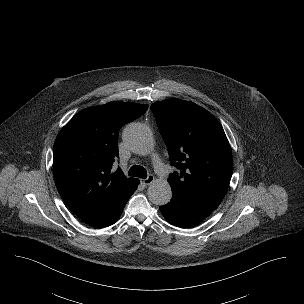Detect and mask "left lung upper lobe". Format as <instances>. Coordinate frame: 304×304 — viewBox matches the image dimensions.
Masks as SVG:
<instances>
[{
  "label": "left lung upper lobe",
  "mask_w": 304,
  "mask_h": 304,
  "mask_svg": "<svg viewBox=\"0 0 304 304\" xmlns=\"http://www.w3.org/2000/svg\"><path fill=\"white\" fill-rule=\"evenodd\" d=\"M151 110L171 165L178 168L168 178L172 193L216 209L233 172L231 148L222 126L206 109L188 101H159Z\"/></svg>",
  "instance_id": "1"
}]
</instances>
